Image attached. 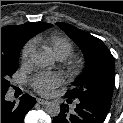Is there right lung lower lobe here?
Returning <instances> with one entry per match:
<instances>
[{
	"instance_id": "98d812e1",
	"label": "right lung lower lobe",
	"mask_w": 123,
	"mask_h": 123,
	"mask_svg": "<svg viewBox=\"0 0 123 123\" xmlns=\"http://www.w3.org/2000/svg\"><path fill=\"white\" fill-rule=\"evenodd\" d=\"M1 93V123H23L25 114L35 105L36 100L28 94L20 98L18 104L5 100Z\"/></svg>"
}]
</instances>
